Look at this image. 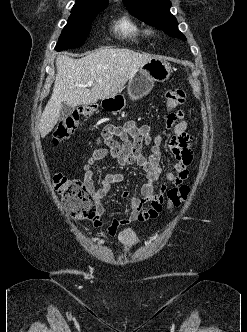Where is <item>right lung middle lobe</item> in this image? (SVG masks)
Wrapping results in <instances>:
<instances>
[{
    "instance_id": "dd1d6c3e",
    "label": "right lung middle lobe",
    "mask_w": 247,
    "mask_h": 332,
    "mask_svg": "<svg viewBox=\"0 0 247 332\" xmlns=\"http://www.w3.org/2000/svg\"><path fill=\"white\" fill-rule=\"evenodd\" d=\"M106 7L107 5L89 8L73 7L55 49L62 51L82 46L90 32L92 21Z\"/></svg>"
}]
</instances>
